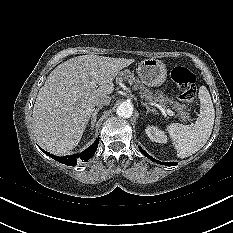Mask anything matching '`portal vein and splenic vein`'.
Returning <instances> with one entry per match:
<instances>
[{
    "label": "portal vein and splenic vein",
    "mask_w": 233,
    "mask_h": 233,
    "mask_svg": "<svg viewBox=\"0 0 233 233\" xmlns=\"http://www.w3.org/2000/svg\"><path fill=\"white\" fill-rule=\"evenodd\" d=\"M91 75L93 76L94 73L92 72ZM90 85H91V87H93V88L96 87V82H95V80H92V81L90 82ZM166 112H167V114H168L169 116H173V115L175 114V113H174L172 110H170V109H167Z\"/></svg>",
    "instance_id": "18ae733b"
}]
</instances>
